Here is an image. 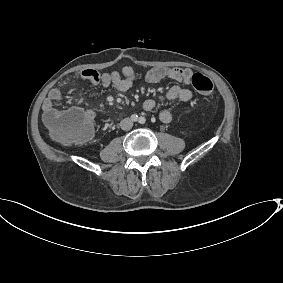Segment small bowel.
<instances>
[{"label":"small bowel","instance_id":"obj_1","mask_svg":"<svg viewBox=\"0 0 283 283\" xmlns=\"http://www.w3.org/2000/svg\"><path fill=\"white\" fill-rule=\"evenodd\" d=\"M77 76L83 80L90 82L92 85L101 86L103 88L113 87L121 93L127 92L134 82V70L130 66L122 68L121 72L113 71L110 73H99L94 69H84L77 73ZM171 79L179 84H189L192 78V72L189 69L169 68V67H153L147 71L145 80L148 83H158L163 79ZM62 92L57 88H52L43 103L45 114L54 110V104L62 100ZM192 98V91L187 87L173 85L165 94L161 95L158 101L147 99L143 103V109L152 112L158 102H168L180 100L187 102ZM87 114L93 119L94 108L87 110ZM159 119L163 123H169L172 120V113L169 110H162L159 113Z\"/></svg>","mask_w":283,"mask_h":283}]
</instances>
